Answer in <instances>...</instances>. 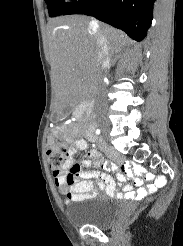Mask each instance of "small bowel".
<instances>
[{"instance_id":"small-bowel-1","label":"small bowel","mask_w":183,"mask_h":246,"mask_svg":"<svg viewBox=\"0 0 183 246\" xmlns=\"http://www.w3.org/2000/svg\"><path fill=\"white\" fill-rule=\"evenodd\" d=\"M64 133V128L59 129ZM88 131L86 132L87 135ZM93 133V132H92ZM72 134L65 133V137L70 139ZM104 147V144H100ZM88 143L85 139L79 138L75 140L67 149V159L61 170L53 171V179L55 186L65 196L67 202H80L93 197L94 184L92 179H96L98 189L105 190L109 196H117L121 198L142 199L148 194L155 192L157 185H165L164 174H144L145 169L139 165L129 163L122 165L123 173L117 175V179L122 188H116L114 179L108 174L109 171H116L117 165L104 161L103 157L97 150H89L87 155L78 163H74L73 155L78 150H87ZM96 168L92 171L85 172L83 169ZM70 171H76L70 173ZM140 175V178H136ZM127 179H135V183L139 186L136 193H133L132 186ZM143 179L154 180L153 184L144 185Z\"/></svg>"}]
</instances>
